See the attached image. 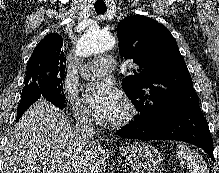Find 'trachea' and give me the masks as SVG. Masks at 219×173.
<instances>
[{"label":"trachea","instance_id":"1","mask_svg":"<svg viewBox=\"0 0 219 173\" xmlns=\"http://www.w3.org/2000/svg\"><path fill=\"white\" fill-rule=\"evenodd\" d=\"M97 14H104L107 11L106 6H94Z\"/></svg>","mask_w":219,"mask_h":173}]
</instances>
